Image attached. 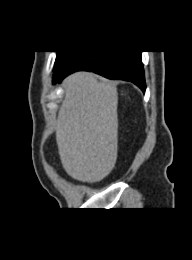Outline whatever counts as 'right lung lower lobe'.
I'll return each instance as SVG.
<instances>
[{
	"label": "right lung lower lobe",
	"mask_w": 192,
	"mask_h": 260,
	"mask_svg": "<svg viewBox=\"0 0 192 260\" xmlns=\"http://www.w3.org/2000/svg\"><path fill=\"white\" fill-rule=\"evenodd\" d=\"M92 71L109 79L130 81L145 92V78L141 51H87L79 53L54 76L53 82L75 71Z\"/></svg>",
	"instance_id": "right-lung-lower-lobe-1"
}]
</instances>
